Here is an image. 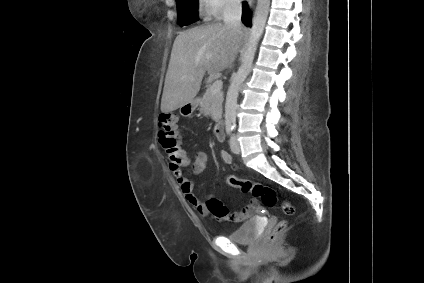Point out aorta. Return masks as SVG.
<instances>
[{"mask_svg": "<svg viewBox=\"0 0 424 283\" xmlns=\"http://www.w3.org/2000/svg\"><path fill=\"white\" fill-rule=\"evenodd\" d=\"M270 0H257L254 18L248 41L242 56V63L237 73L232 78L228 88L225 103V124L228 127L235 126L238 92L241 84L251 71L258 42L263 34L268 18Z\"/></svg>", "mask_w": 424, "mask_h": 283, "instance_id": "aorta-1", "label": "aorta"}]
</instances>
